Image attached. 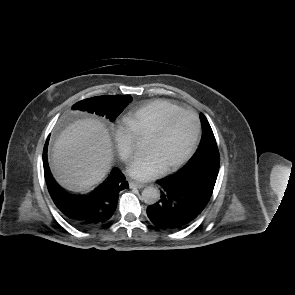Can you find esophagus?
<instances>
[{"mask_svg": "<svg viewBox=\"0 0 295 295\" xmlns=\"http://www.w3.org/2000/svg\"><path fill=\"white\" fill-rule=\"evenodd\" d=\"M129 186H130V188H134L135 187V188L141 189V188L145 187V184L140 183V182H134V181H132V182L129 183Z\"/></svg>", "mask_w": 295, "mask_h": 295, "instance_id": "obj_1", "label": "esophagus"}]
</instances>
